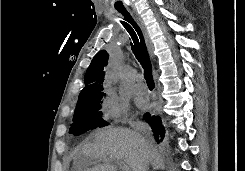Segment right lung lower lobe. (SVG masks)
I'll return each mask as SVG.
<instances>
[{"label":"right lung lower lobe","instance_id":"98d812e1","mask_svg":"<svg viewBox=\"0 0 245 171\" xmlns=\"http://www.w3.org/2000/svg\"><path fill=\"white\" fill-rule=\"evenodd\" d=\"M144 120L150 124L155 140L159 143L164 139L165 129L160 116H151L149 113L143 115Z\"/></svg>","mask_w":245,"mask_h":171}]
</instances>
